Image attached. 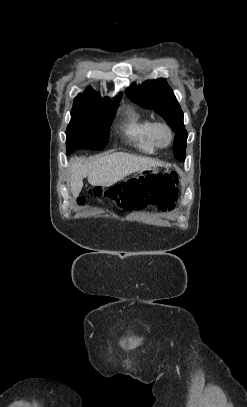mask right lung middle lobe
Masks as SVG:
<instances>
[{
  "label": "right lung middle lobe",
  "mask_w": 247,
  "mask_h": 407,
  "mask_svg": "<svg viewBox=\"0 0 247 407\" xmlns=\"http://www.w3.org/2000/svg\"><path fill=\"white\" fill-rule=\"evenodd\" d=\"M118 102L73 106L66 130L67 155L77 149L98 151L105 148Z\"/></svg>",
  "instance_id": "1"
}]
</instances>
